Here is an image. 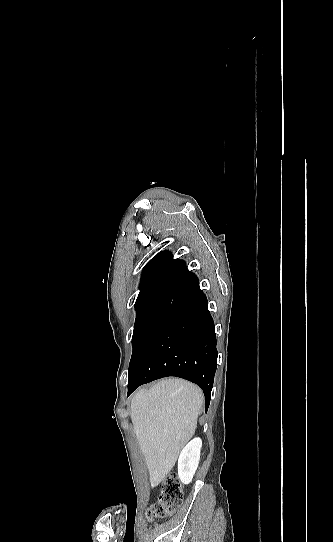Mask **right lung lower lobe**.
I'll return each instance as SVG.
<instances>
[{"instance_id":"right-lung-lower-lobe-1","label":"right lung lower lobe","mask_w":333,"mask_h":542,"mask_svg":"<svg viewBox=\"0 0 333 542\" xmlns=\"http://www.w3.org/2000/svg\"><path fill=\"white\" fill-rule=\"evenodd\" d=\"M168 261L188 270L183 260ZM218 352L214 322L205 294L191 273L170 291L150 313L129 365L128 396L140 385L176 376L199 385L207 411Z\"/></svg>"}]
</instances>
